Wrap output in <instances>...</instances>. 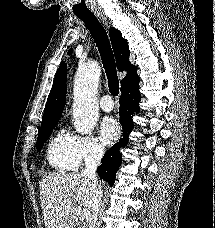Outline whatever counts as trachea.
Instances as JSON below:
<instances>
[{
    "instance_id": "3493384b",
    "label": "trachea",
    "mask_w": 215,
    "mask_h": 228,
    "mask_svg": "<svg viewBox=\"0 0 215 228\" xmlns=\"http://www.w3.org/2000/svg\"><path fill=\"white\" fill-rule=\"evenodd\" d=\"M76 17L80 18V20L85 23L86 27L94 38L107 75L109 91L112 95L117 96L119 93V80L117 76L114 54L105 29L92 13L76 14Z\"/></svg>"
}]
</instances>
